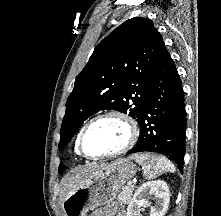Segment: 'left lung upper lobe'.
<instances>
[{"instance_id":"obj_1","label":"left lung upper lobe","mask_w":221,"mask_h":216,"mask_svg":"<svg viewBox=\"0 0 221 216\" xmlns=\"http://www.w3.org/2000/svg\"><path fill=\"white\" fill-rule=\"evenodd\" d=\"M166 52L162 36L147 18H131L103 39L76 77L66 102L59 148L92 114L114 109L139 121L155 69ZM65 170L59 166V173Z\"/></svg>"}]
</instances>
